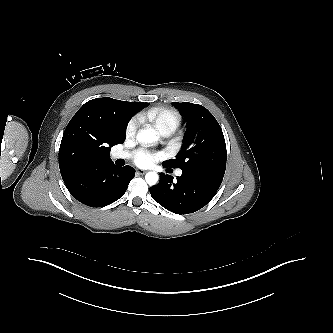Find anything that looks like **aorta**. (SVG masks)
Returning a JSON list of instances; mask_svg holds the SVG:
<instances>
[{
	"instance_id": "762f6f07",
	"label": "aorta",
	"mask_w": 333,
	"mask_h": 333,
	"mask_svg": "<svg viewBox=\"0 0 333 333\" xmlns=\"http://www.w3.org/2000/svg\"><path fill=\"white\" fill-rule=\"evenodd\" d=\"M137 140L143 144H151L159 139V134L154 129L140 130L136 136ZM145 180L148 185H155L159 180V175L156 172H148L145 175Z\"/></svg>"
}]
</instances>
